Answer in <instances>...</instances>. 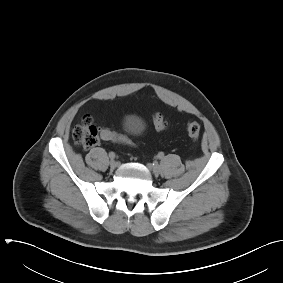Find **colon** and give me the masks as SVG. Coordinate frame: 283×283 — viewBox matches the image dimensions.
Wrapping results in <instances>:
<instances>
[{"mask_svg": "<svg viewBox=\"0 0 283 283\" xmlns=\"http://www.w3.org/2000/svg\"><path fill=\"white\" fill-rule=\"evenodd\" d=\"M152 121L157 131L163 132L166 130L167 123L161 114L154 113ZM186 131L193 141H197L201 133V125L197 121H191L186 125ZM71 136L75 144L84 149L94 147L100 139L109 143H124V139L113 130L109 128L99 129L94 126L91 117L87 115L72 128Z\"/></svg>", "mask_w": 283, "mask_h": 283, "instance_id": "obj_1", "label": "colon"}]
</instances>
